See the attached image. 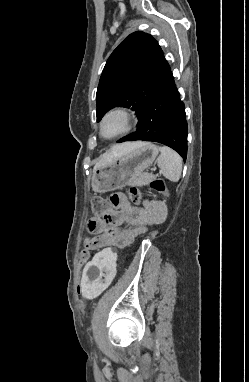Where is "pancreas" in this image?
I'll use <instances>...</instances> for the list:
<instances>
[{
    "instance_id": "pancreas-1",
    "label": "pancreas",
    "mask_w": 249,
    "mask_h": 382,
    "mask_svg": "<svg viewBox=\"0 0 249 382\" xmlns=\"http://www.w3.org/2000/svg\"><path fill=\"white\" fill-rule=\"evenodd\" d=\"M152 178H153L152 175L143 174L136 178H133L130 181L129 185L141 187V186L147 185L152 180Z\"/></svg>"
}]
</instances>
